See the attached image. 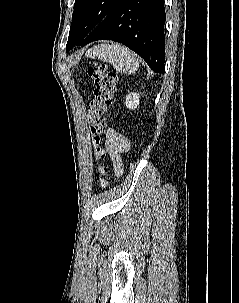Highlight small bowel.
Here are the masks:
<instances>
[{"label":"small bowel","mask_w":239,"mask_h":303,"mask_svg":"<svg viewBox=\"0 0 239 303\" xmlns=\"http://www.w3.org/2000/svg\"><path fill=\"white\" fill-rule=\"evenodd\" d=\"M129 148L130 144L123 134L113 129L107 132L105 139V152L110 157L117 175L122 173L123 164L121 154L127 152Z\"/></svg>","instance_id":"c3829d8e"}]
</instances>
